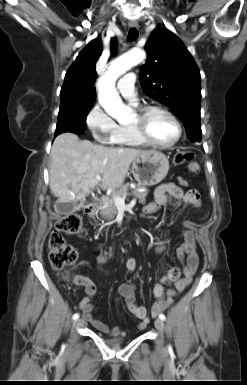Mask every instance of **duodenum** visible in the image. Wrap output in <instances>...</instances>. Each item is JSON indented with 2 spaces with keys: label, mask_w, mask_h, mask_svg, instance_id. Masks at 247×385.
<instances>
[{
  "label": "duodenum",
  "mask_w": 247,
  "mask_h": 385,
  "mask_svg": "<svg viewBox=\"0 0 247 385\" xmlns=\"http://www.w3.org/2000/svg\"><path fill=\"white\" fill-rule=\"evenodd\" d=\"M99 212V205L96 203H89L86 206L85 213L88 217L94 218Z\"/></svg>",
  "instance_id": "1"
}]
</instances>
